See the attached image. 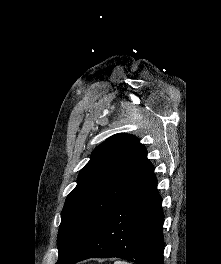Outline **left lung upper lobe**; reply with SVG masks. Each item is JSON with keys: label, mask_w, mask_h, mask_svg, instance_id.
Here are the masks:
<instances>
[{"label": "left lung upper lobe", "mask_w": 221, "mask_h": 264, "mask_svg": "<svg viewBox=\"0 0 221 264\" xmlns=\"http://www.w3.org/2000/svg\"><path fill=\"white\" fill-rule=\"evenodd\" d=\"M139 139L116 134L100 144L81 169L68 195L58 231V256L63 258L152 171Z\"/></svg>", "instance_id": "obj_1"}]
</instances>
